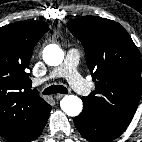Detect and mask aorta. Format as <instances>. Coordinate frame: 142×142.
<instances>
[{"instance_id": "1", "label": "aorta", "mask_w": 142, "mask_h": 142, "mask_svg": "<svg viewBox=\"0 0 142 142\" xmlns=\"http://www.w3.org/2000/svg\"><path fill=\"white\" fill-rule=\"evenodd\" d=\"M64 52L55 44L45 47L43 51V60L47 65L58 66L63 62ZM61 109L71 117L78 116L83 109L82 100L75 95H66L60 102Z\"/></svg>"}]
</instances>
